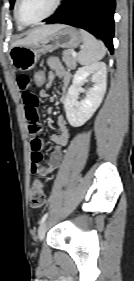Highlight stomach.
<instances>
[{"label":"stomach","mask_w":134,"mask_h":281,"mask_svg":"<svg viewBox=\"0 0 134 281\" xmlns=\"http://www.w3.org/2000/svg\"><path fill=\"white\" fill-rule=\"evenodd\" d=\"M82 41V34L79 30L62 25L60 29L37 42L12 47L10 61L15 69L23 72L29 71L35 67L42 54L52 52L59 47L75 48Z\"/></svg>","instance_id":"obj_1"}]
</instances>
